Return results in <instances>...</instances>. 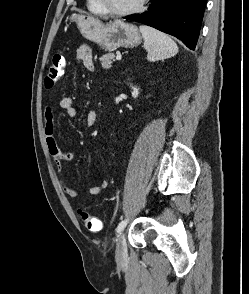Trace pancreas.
<instances>
[{"mask_svg":"<svg viewBox=\"0 0 249 294\" xmlns=\"http://www.w3.org/2000/svg\"><path fill=\"white\" fill-rule=\"evenodd\" d=\"M114 53H106L101 58V65L103 69H110L112 66V62L114 61Z\"/></svg>","mask_w":249,"mask_h":294,"instance_id":"1","label":"pancreas"}]
</instances>
